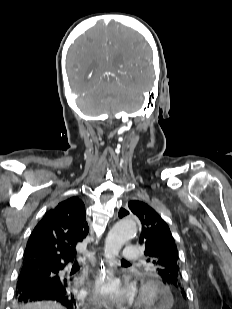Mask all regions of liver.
Wrapping results in <instances>:
<instances>
[{
    "label": "liver",
    "mask_w": 232,
    "mask_h": 309,
    "mask_svg": "<svg viewBox=\"0 0 232 309\" xmlns=\"http://www.w3.org/2000/svg\"><path fill=\"white\" fill-rule=\"evenodd\" d=\"M20 309H65L60 304L52 301L29 303Z\"/></svg>",
    "instance_id": "liver-1"
}]
</instances>
